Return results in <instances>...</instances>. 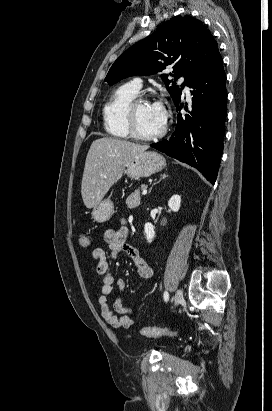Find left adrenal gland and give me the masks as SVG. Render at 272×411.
Wrapping results in <instances>:
<instances>
[{
	"label": "left adrenal gland",
	"instance_id": "a2214340",
	"mask_svg": "<svg viewBox=\"0 0 272 411\" xmlns=\"http://www.w3.org/2000/svg\"><path fill=\"white\" fill-rule=\"evenodd\" d=\"M167 176H168L167 174H162V175H161V178L159 179L158 182H160L162 179L166 178Z\"/></svg>",
	"mask_w": 272,
	"mask_h": 411
}]
</instances>
